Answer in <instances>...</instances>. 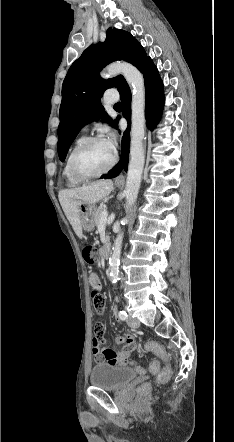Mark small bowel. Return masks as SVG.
I'll return each instance as SVG.
<instances>
[{
	"label": "small bowel",
	"mask_w": 234,
	"mask_h": 442,
	"mask_svg": "<svg viewBox=\"0 0 234 442\" xmlns=\"http://www.w3.org/2000/svg\"><path fill=\"white\" fill-rule=\"evenodd\" d=\"M94 288L101 291L102 285L99 279L97 285L94 286ZM104 325V320L99 319L92 328L93 333H95V336H93L92 338V352L96 359L101 361L97 364V367L99 369L119 370L122 366L128 365L129 357L136 348L135 339L130 335L120 336L115 340V343L113 345L103 346V344L100 343L104 341ZM121 343H125V346L119 352L117 347Z\"/></svg>",
	"instance_id": "1"
}]
</instances>
